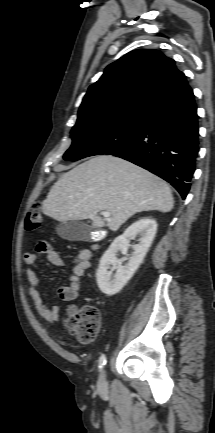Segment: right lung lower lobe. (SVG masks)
<instances>
[{"label":"right lung lower lobe","instance_id":"right-lung-lower-lobe-1","mask_svg":"<svg viewBox=\"0 0 215 433\" xmlns=\"http://www.w3.org/2000/svg\"><path fill=\"white\" fill-rule=\"evenodd\" d=\"M198 128L194 94L188 85L148 110L138 135L107 154L158 175L185 199L199 151Z\"/></svg>","mask_w":215,"mask_h":433}]
</instances>
